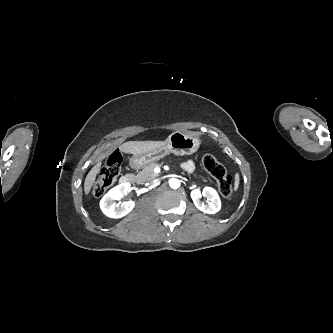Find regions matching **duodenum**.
Instances as JSON below:
<instances>
[{
  "label": "duodenum",
  "instance_id": "410a0bca",
  "mask_svg": "<svg viewBox=\"0 0 333 333\" xmlns=\"http://www.w3.org/2000/svg\"><path fill=\"white\" fill-rule=\"evenodd\" d=\"M134 180V175L132 174H126V175H123L121 178H120V182L122 184H126V183H130Z\"/></svg>",
  "mask_w": 333,
  "mask_h": 333
}]
</instances>
